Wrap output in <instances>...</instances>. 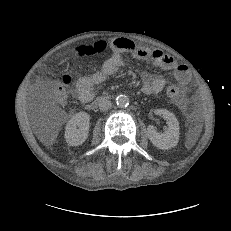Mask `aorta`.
I'll return each mask as SVG.
<instances>
[{"instance_id":"762f6f07","label":"aorta","mask_w":231,"mask_h":231,"mask_svg":"<svg viewBox=\"0 0 231 231\" xmlns=\"http://www.w3.org/2000/svg\"><path fill=\"white\" fill-rule=\"evenodd\" d=\"M116 104L119 107H127L129 105V98L126 95H119L116 98Z\"/></svg>"}]
</instances>
